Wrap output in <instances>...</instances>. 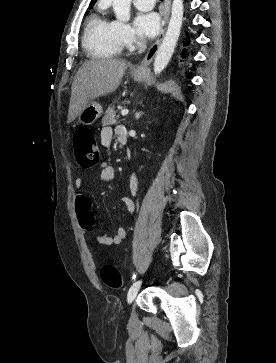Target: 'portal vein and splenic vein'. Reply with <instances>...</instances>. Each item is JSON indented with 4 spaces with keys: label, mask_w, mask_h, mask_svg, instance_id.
<instances>
[{
    "label": "portal vein and splenic vein",
    "mask_w": 276,
    "mask_h": 363,
    "mask_svg": "<svg viewBox=\"0 0 276 363\" xmlns=\"http://www.w3.org/2000/svg\"><path fill=\"white\" fill-rule=\"evenodd\" d=\"M128 113H129V110L128 109H122L121 110V115L122 116H126Z\"/></svg>",
    "instance_id": "18ae733b"
}]
</instances>
